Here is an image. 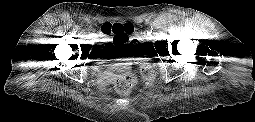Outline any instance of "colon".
Returning <instances> with one entry per match:
<instances>
[{"label": "colon", "mask_w": 255, "mask_h": 122, "mask_svg": "<svg viewBox=\"0 0 255 122\" xmlns=\"http://www.w3.org/2000/svg\"><path fill=\"white\" fill-rule=\"evenodd\" d=\"M102 30L105 35L122 34L130 37L134 33L135 28L130 23H115L112 25H104ZM141 72L146 85L148 87L152 86L155 79V70L153 66L150 63H146L142 66ZM136 82V74L133 71H127L115 80L114 87L117 92L125 94L128 93L136 85Z\"/></svg>", "instance_id": "1"}]
</instances>
